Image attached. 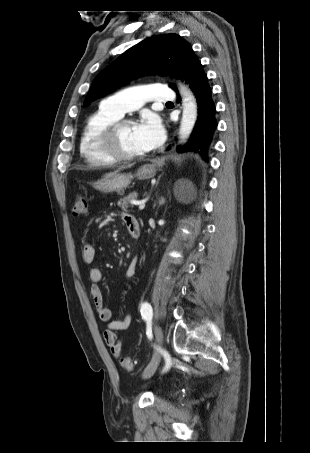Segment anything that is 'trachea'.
<instances>
[{
    "label": "trachea",
    "mask_w": 310,
    "mask_h": 453,
    "mask_svg": "<svg viewBox=\"0 0 310 453\" xmlns=\"http://www.w3.org/2000/svg\"><path fill=\"white\" fill-rule=\"evenodd\" d=\"M166 104H172V102H167Z\"/></svg>",
    "instance_id": "trachea-1"
}]
</instances>
